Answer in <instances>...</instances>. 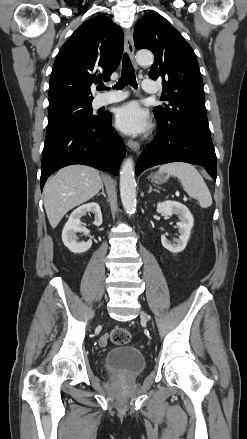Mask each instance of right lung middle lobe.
Returning a JSON list of instances; mask_svg holds the SVG:
<instances>
[{"label": "right lung middle lobe", "mask_w": 247, "mask_h": 439, "mask_svg": "<svg viewBox=\"0 0 247 439\" xmlns=\"http://www.w3.org/2000/svg\"><path fill=\"white\" fill-rule=\"evenodd\" d=\"M92 102H75L49 111L47 132L76 122H91L100 115H93Z\"/></svg>", "instance_id": "1"}]
</instances>
